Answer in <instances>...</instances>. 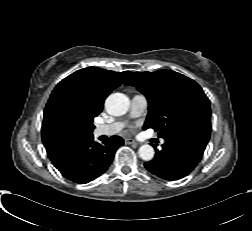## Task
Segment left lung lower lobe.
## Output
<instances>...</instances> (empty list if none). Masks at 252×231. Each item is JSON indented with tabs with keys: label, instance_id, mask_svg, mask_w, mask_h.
I'll list each match as a JSON object with an SVG mask.
<instances>
[{
	"label": "left lung lower lobe",
	"instance_id": "1",
	"mask_svg": "<svg viewBox=\"0 0 252 231\" xmlns=\"http://www.w3.org/2000/svg\"><path fill=\"white\" fill-rule=\"evenodd\" d=\"M210 134L197 130L173 133L164 138L161 150L156 149L153 160L145 163L146 169L166 180L188 175L200 161Z\"/></svg>",
	"mask_w": 252,
	"mask_h": 231
}]
</instances>
